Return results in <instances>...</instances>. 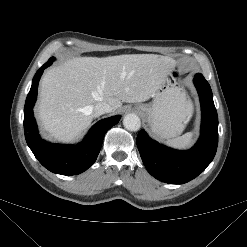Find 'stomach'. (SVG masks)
<instances>
[{
  "label": "stomach",
  "instance_id": "stomach-1",
  "mask_svg": "<svg viewBox=\"0 0 247 247\" xmlns=\"http://www.w3.org/2000/svg\"><path fill=\"white\" fill-rule=\"evenodd\" d=\"M177 76V69L173 66L155 92L153 102L136 106L152 131L162 138L180 135L192 115L191 104L182 89L176 86Z\"/></svg>",
  "mask_w": 247,
  "mask_h": 247
}]
</instances>
